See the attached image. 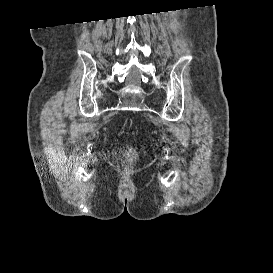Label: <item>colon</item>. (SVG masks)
<instances>
[{
  "instance_id": "colon-1",
  "label": "colon",
  "mask_w": 273,
  "mask_h": 273,
  "mask_svg": "<svg viewBox=\"0 0 273 273\" xmlns=\"http://www.w3.org/2000/svg\"><path fill=\"white\" fill-rule=\"evenodd\" d=\"M134 154H135V151H134V149H133L132 147L127 146V147L125 148L124 157H125L126 159L132 158V157L134 156Z\"/></svg>"
}]
</instances>
